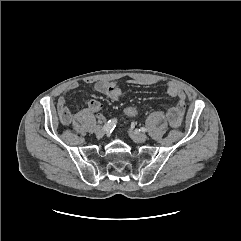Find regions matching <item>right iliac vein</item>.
I'll return each instance as SVG.
<instances>
[{
  "label": "right iliac vein",
  "instance_id": "obj_1",
  "mask_svg": "<svg viewBox=\"0 0 241 241\" xmlns=\"http://www.w3.org/2000/svg\"><path fill=\"white\" fill-rule=\"evenodd\" d=\"M95 134L98 136V137H102L104 134H105V129L102 127V126H97L95 128Z\"/></svg>",
  "mask_w": 241,
  "mask_h": 241
}]
</instances>
